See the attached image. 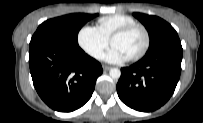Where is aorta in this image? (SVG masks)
<instances>
[{
  "label": "aorta",
  "instance_id": "obj_1",
  "mask_svg": "<svg viewBox=\"0 0 203 123\" xmlns=\"http://www.w3.org/2000/svg\"><path fill=\"white\" fill-rule=\"evenodd\" d=\"M109 75L113 78V79H119L121 76V71L118 68H112L109 72Z\"/></svg>",
  "mask_w": 203,
  "mask_h": 123
}]
</instances>
